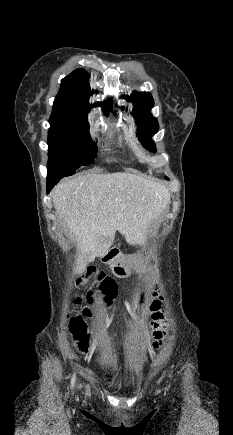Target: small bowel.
I'll return each mask as SVG.
<instances>
[{
	"label": "small bowel",
	"mask_w": 233,
	"mask_h": 435,
	"mask_svg": "<svg viewBox=\"0 0 233 435\" xmlns=\"http://www.w3.org/2000/svg\"><path fill=\"white\" fill-rule=\"evenodd\" d=\"M95 290H99L101 291L109 300H113L117 294H118V285L112 280H104V281H95L93 287L88 290V296L91 295ZM162 317L161 314H157L155 316L154 319H156L153 322V326L155 328L160 327L161 324L158 321V319H160ZM99 369H100V376L101 379L106 382V383H111L112 382V377L110 376V368H108L106 365L104 364H100L99 365Z\"/></svg>",
	"instance_id": "c3829d8e"
}]
</instances>
